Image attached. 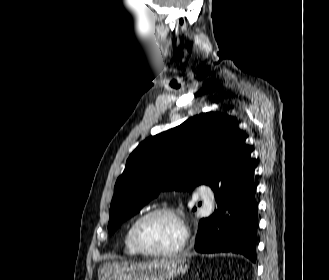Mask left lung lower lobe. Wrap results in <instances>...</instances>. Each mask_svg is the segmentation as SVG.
<instances>
[{"mask_svg":"<svg viewBox=\"0 0 329 280\" xmlns=\"http://www.w3.org/2000/svg\"><path fill=\"white\" fill-rule=\"evenodd\" d=\"M251 152L247 145L243 146L240 169L225 187L214 191L218 208L199 222L197 252H233L256 261L258 205Z\"/></svg>","mask_w":329,"mask_h":280,"instance_id":"1","label":"left lung lower lobe"}]
</instances>
